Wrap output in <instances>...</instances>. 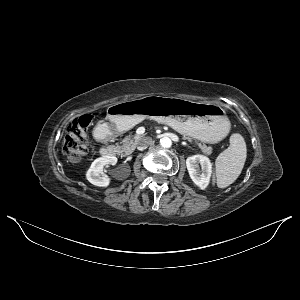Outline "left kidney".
<instances>
[{
  "instance_id": "obj_1",
  "label": "left kidney",
  "mask_w": 300,
  "mask_h": 300,
  "mask_svg": "<svg viewBox=\"0 0 300 300\" xmlns=\"http://www.w3.org/2000/svg\"><path fill=\"white\" fill-rule=\"evenodd\" d=\"M186 166L192 181L201 189L207 188L212 174L210 159L203 155H194L187 158Z\"/></svg>"
}]
</instances>
